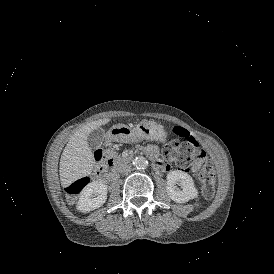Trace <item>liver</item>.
Listing matches in <instances>:
<instances>
[{
  "label": "liver",
  "instance_id": "liver-1",
  "mask_svg": "<svg viewBox=\"0 0 274 274\" xmlns=\"http://www.w3.org/2000/svg\"><path fill=\"white\" fill-rule=\"evenodd\" d=\"M109 121V118H104L87 123L70 137L60 159L59 173L63 187H68L74 181L91 174L95 160L87 137L93 130Z\"/></svg>",
  "mask_w": 274,
  "mask_h": 274
}]
</instances>
